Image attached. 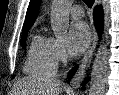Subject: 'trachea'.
<instances>
[{
    "label": "trachea",
    "instance_id": "1",
    "mask_svg": "<svg viewBox=\"0 0 119 95\" xmlns=\"http://www.w3.org/2000/svg\"><path fill=\"white\" fill-rule=\"evenodd\" d=\"M84 2L89 8H91L92 5L94 4V0H84Z\"/></svg>",
    "mask_w": 119,
    "mask_h": 95
}]
</instances>
